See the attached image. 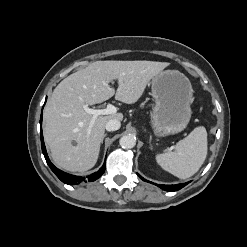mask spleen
Instances as JSON below:
<instances>
[{"mask_svg": "<svg viewBox=\"0 0 247 247\" xmlns=\"http://www.w3.org/2000/svg\"><path fill=\"white\" fill-rule=\"evenodd\" d=\"M206 156L207 131L199 126L176 144L175 151L157 154L156 161L165 171L186 179L197 173Z\"/></svg>", "mask_w": 247, "mask_h": 247, "instance_id": "3e777b00", "label": "spleen"}]
</instances>
